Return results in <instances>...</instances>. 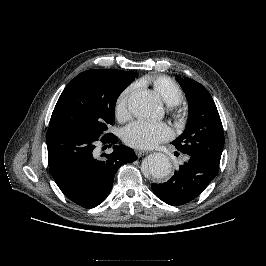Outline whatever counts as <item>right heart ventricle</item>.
Returning <instances> with one entry per match:
<instances>
[{
	"instance_id": "e07e8e85",
	"label": "right heart ventricle",
	"mask_w": 266,
	"mask_h": 266,
	"mask_svg": "<svg viewBox=\"0 0 266 266\" xmlns=\"http://www.w3.org/2000/svg\"><path fill=\"white\" fill-rule=\"evenodd\" d=\"M140 84H152L156 92L169 106H175L183 100L182 89L168 76L146 77L140 81Z\"/></svg>"
}]
</instances>
